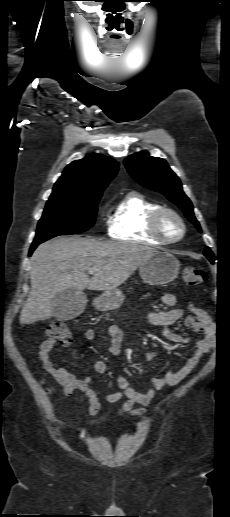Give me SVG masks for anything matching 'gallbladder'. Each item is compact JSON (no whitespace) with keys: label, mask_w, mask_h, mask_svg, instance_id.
<instances>
[{"label":"gallbladder","mask_w":230,"mask_h":517,"mask_svg":"<svg viewBox=\"0 0 230 517\" xmlns=\"http://www.w3.org/2000/svg\"><path fill=\"white\" fill-rule=\"evenodd\" d=\"M85 293L77 290H67L56 295L52 301L53 316L58 320H69L79 316L85 306Z\"/></svg>","instance_id":"bac80fb5"}]
</instances>
